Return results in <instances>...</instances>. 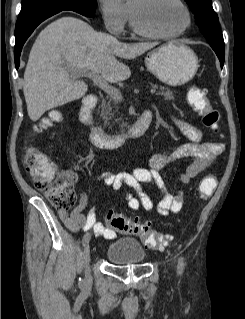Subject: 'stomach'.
Masks as SVG:
<instances>
[{
  "label": "stomach",
  "instance_id": "1",
  "mask_svg": "<svg viewBox=\"0 0 245 319\" xmlns=\"http://www.w3.org/2000/svg\"><path fill=\"white\" fill-rule=\"evenodd\" d=\"M145 64L152 74L171 86L188 82L198 70L196 54L179 42H170L149 52Z\"/></svg>",
  "mask_w": 245,
  "mask_h": 319
}]
</instances>
